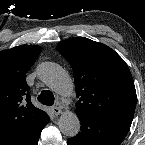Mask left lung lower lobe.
I'll list each match as a JSON object with an SVG mask.
<instances>
[{
  "mask_svg": "<svg viewBox=\"0 0 145 145\" xmlns=\"http://www.w3.org/2000/svg\"><path fill=\"white\" fill-rule=\"evenodd\" d=\"M81 129L68 145H120L126 137L132 119L78 115Z\"/></svg>",
  "mask_w": 145,
  "mask_h": 145,
  "instance_id": "left-lung-lower-lobe-1",
  "label": "left lung lower lobe"
}]
</instances>
